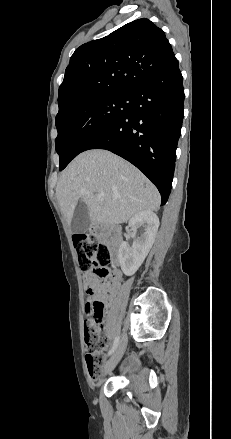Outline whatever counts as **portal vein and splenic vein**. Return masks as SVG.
Here are the masks:
<instances>
[{"mask_svg":"<svg viewBox=\"0 0 231 439\" xmlns=\"http://www.w3.org/2000/svg\"><path fill=\"white\" fill-rule=\"evenodd\" d=\"M96 197L99 200H103L104 199V194L103 193L97 194Z\"/></svg>","mask_w":231,"mask_h":439,"instance_id":"obj_1","label":"portal vein and splenic vein"}]
</instances>
